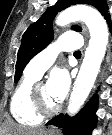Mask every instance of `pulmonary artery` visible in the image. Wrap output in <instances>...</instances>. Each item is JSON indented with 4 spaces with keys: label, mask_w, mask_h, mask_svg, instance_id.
<instances>
[{
    "label": "pulmonary artery",
    "mask_w": 112,
    "mask_h": 135,
    "mask_svg": "<svg viewBox=\"0 0 112 135\" xmlns=\"http://www.w3.org/2000/svg\"><path fill=\"white\" fill-rule=\"evenodd\" d=\"M82 46L81 35L68 33L43 49L27 65L25 72L38 78L54 63L56 56L61 51H76Z\"/></svg>",
    "instance_id": "obj_1"
}]
</instances>
